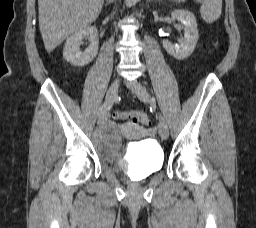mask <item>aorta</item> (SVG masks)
Returning <instances> with one entry per match:
<instances>
[{
	"label": "aorta",
	"instance_id": "762f6f07",
	"mask_svg": "<svg viewBox=\"0 0 256 228\" xmlns=\"http://www.w3.org/2000/svg\"><path fill=\"white\" fill-rule=\"evenodd\" d=\"M138 0H125L127 6H132L135 4Z\"/></svg>",
	"mask_w": 256,
	"mask_h": 228
}]
</instances>
